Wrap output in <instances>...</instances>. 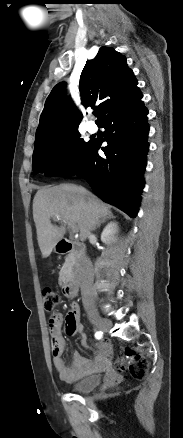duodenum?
Returning <instances> with one entry per match:
<instances>
[{
    "label": "duodenum",
    "instance_id": "obj_1",
    "mask_svg": "<svg viewBox=\"0 0 183 438\" xmlns=\"http://www.w3.org/2000/svg\"><path fill=\"white\" fill-rule=\"evenodd\" d=\"M56 249L60 254L71 255V266L64 280L63 290L68 297L74 298L78 293L77 274L81 258L85 253V247L82 243L61 239L58 241Z\"/></svg>",
    "mask_w": 183,
    "mask_h": 438
}]
</instances>
